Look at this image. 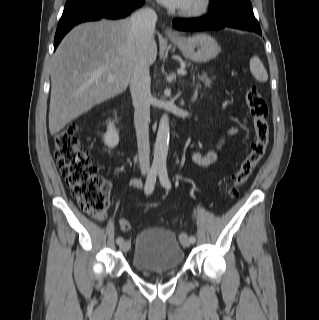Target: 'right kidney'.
<instances>
[{
  "mask_svg": "<svg viewBox=\"0 0 319 320\" xmlns=\"http://www.w3.org/2000/svg\"><path fill=\"white\" fill-rule=\"evenodd\" d=\"M103 140L105 145L109 148H113L119 143V134L115 128L114 122H109L107 132L104 135Z\"/></svg>",
  "mask_w": 319,
  "mask_h": 320,
  "instance_id": "1",
  "label": "right kidney"
}]
</instances>
